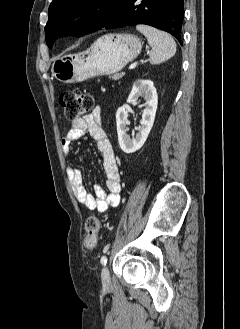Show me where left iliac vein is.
<instances>
[{"mask_svg":"<svg viewBox=\"0 0 240 329\" xmlns=\"http://www.w3.org/2000/svg\"><path fill=\"white\" fill-rule=\"evenodd\" d=\"M101 279L103 286L107 287L110 285V274L107 266H105L101 272Z\"/></svg>","mask_w":240,"mask_h":329,"instance_id":"left-iliac-vein-1","label":"left iliac vein"}]
</instances>
